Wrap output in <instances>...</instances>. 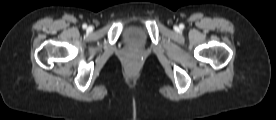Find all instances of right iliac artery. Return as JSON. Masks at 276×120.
<instances>
[{
	"mask_svg": "<svg viewBox=\"0 0 276 120\" xmlns=\"http://www.w3.org/2000/svg\"><path fill=\"white\" fill-rule=\"evenodd\" d=\"M82 27L85 29V28H87V25H86V24H83V26H82Z\"/></svg>",
	"mask_w": 276,
	"mask_h": 120,
	"instance_id": "82829eb1",
	"label": "right iliac artery"
}]
</instances>
